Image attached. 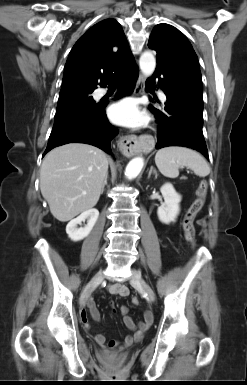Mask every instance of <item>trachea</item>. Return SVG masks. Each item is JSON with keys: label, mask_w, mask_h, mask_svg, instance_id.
I'll return each instance as SVG.
<instances>
[{"label": "trachea", "mask_w": 247, "mask_h": 385, "mask_svg": "<svg viewBox=\"0 0 247 385\" xmlns=\"http://www.w3.org/2000/svg\"><path fill=\"white\" fill-rule=\"evenodd\" d=\"M110 84H116V82H111Z\"/></svg>", "instance_id": "3493384b"}]
</instances>
